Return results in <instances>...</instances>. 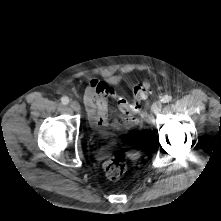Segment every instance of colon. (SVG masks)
Listing matches in <instances>:
<instances>
[{
	"instance_id": "1",
	"label": "colon",
	"mask_w": 221,
	"mask_h": 221,
	"mask_svg": "<svg viewBox=\"0 0 221 221\" xmlns=\"http://www.w3.org/2000/svg\"><path fill=\"white\" fill-rule=\"evenodd\" d=\"M98 81V80H92ZM99 82V81H98ZM151 83L148 79H145L133 89V100L131 103H128L126 99L121 98V102L127 104V109L138 112L140 110V105L143 100L146 99L150 91ZM127 168V157L126 155L118 151L116 152L111 159H109L104 164V171L109 180L116 181L119 180L125 173Z\"/></svg>"
}]
</instances>
